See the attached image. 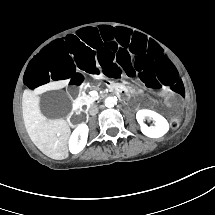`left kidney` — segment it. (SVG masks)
Returning <instances> with one entry per match:
<instances>
[{"instance_id":"left-kidney-1","label":"left kidney","mask_w":215,"mask_h":215,"mask_svg":"<svg viewBox=\"0 0 215 215\" xmlns=\"http://www.w3.org/2000/svg\"><path fill=\"white\" fill-rule=\"evenodd\" d=\"M152 118L155 121V126L148 127L144 124L145 118ZM137 122L140 124L141 132L150 138H159L165 135L169 130L168 121L155 111L142 109L136 113Z\"/></svg>"}]
</instances>
